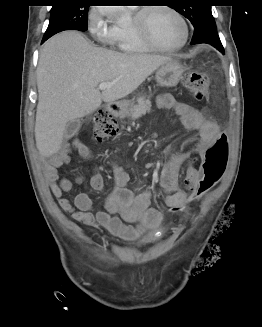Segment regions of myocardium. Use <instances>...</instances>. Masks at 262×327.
Wrapping results in <instances>:
<instances>
[{"instance_id": "myocardium-1", "label": "myocardium", "mask_w": 262, "mask_h": 327, "mask_svg": "<svg viewBox=\"0 0 262 327\" xmlns=\"http://www.w3.org/2000/svg\"><path fill=\"white\" fill-rule=\"evenodd\" d=\"M156 9H164L172 14H174L182 23L183 28H184V37L183 40L180 44L176 46H162L158 44L154 38L152 37L148 25H147V16L149 12L156 10ZM131 26L134 29V31L137 33V35L141 38V40L149 46L151 49L155 51H160V52H174L182 49L188 42L189 40V25L185 19V17L174 7L166 4H160V5H150L146 7H142L139 9L133 16Z\"/></svg>"}]
</instances>
